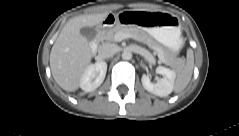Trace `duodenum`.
Here are the masks:
<instances>
[{
  "mask_svg": "<svg viewBox=\"0 0 239 136\" xmlns=\"http://www.w3.org/2000/svg\"><path fill=\"white\" fill-rule=\"evenodd\" d=\"M117 21H118V17H117L116 15H109V16L107 17L105 23H106L107 25H111V24H113V23H115V22H117ZM104 30H105V28H104V27H101V28L99 29V32L102 33ZM98 43H99L98 40H95V41L92 42V44H91V46H90V49H91L92 52H95V51H96V49H97V47H98Z\"/></svg>",
  "mask_w": 239,
  "mask_h": 136,
  "instance_id": "obj_1",
  "label": "duodenum"
}]
</instances>
